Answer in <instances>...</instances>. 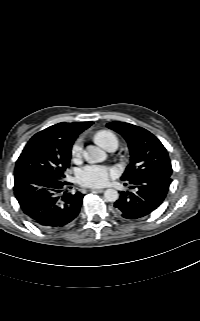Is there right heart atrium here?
I'll return each mask as SVG.
<instances>
[{
    "label": "right heart atrium",
    "mask_w": 200,
    "mask_h": 321,
    "mask_svg": "<svg viewBox=\"0 0 200 321\" xmlns=\"http://www.w3.org/2000/svg\"><path fill=\"white\" fill-rule=\"evenodd\" d=\"M81 155H82L81 144L78 141H76L71 147V156L73 160L77 161L81 158Z\"/></svg>",
    "instance_id": "1"
}]
</instances>
